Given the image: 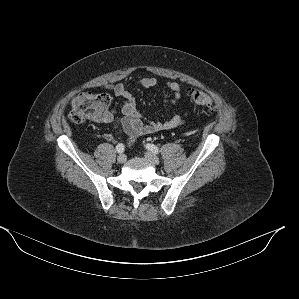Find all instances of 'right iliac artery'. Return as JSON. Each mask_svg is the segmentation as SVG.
Listing matches in <instances>:
<instances>
[{"label":"right iliac artery","mask_w":299,"mask_h":299,"mask_svg":"<svg viewBox=\"0 0 299 299\" xmlns=\"http://www.w3.org/2000/svg\"><path fill=\"white\" fill-rule=\"evenodd\" d=\"M124 145L122 144V143H119L117 146H116V151L118 152V153H122V152H124Z\"/></svg>","instance_id":"82829eb1"}]
</instances>
